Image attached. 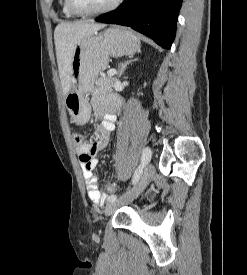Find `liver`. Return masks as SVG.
<instances>
[{
	"label": "liver",
	"mask_w": 247,
	"mask_h": 275,
	"mask_svg": "<svg viewBox=\"0 0 247 275\" xmlns=\"http://www.w3.org/2000/svg\"><path fill=\"white\" fill-rule=\"evenodd\" d=\"M106 24L93 23L89 21H78L72 23H60L54 31V41L59 76L66 96L71 89V63L75 45L84 37L97 33Z\"/></svg>",
	"instance_id": "1"
}]
</instances>
